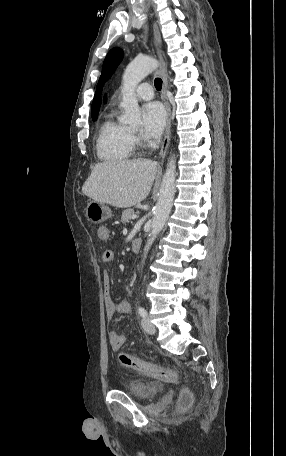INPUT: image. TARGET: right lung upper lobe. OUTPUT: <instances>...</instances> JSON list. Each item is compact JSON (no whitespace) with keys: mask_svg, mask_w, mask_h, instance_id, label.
<instances>
[{"mask_svg":"<svg viewBox=\"0 0 286 456\" xmlns=\"http://www.w3.org/2000/svg\"><path fill=\"white\" fill-rule=\"evenodd\" d=\"M104 102H106V96L104 97Z\"/></svg>","mask_w":286,"mask_h":456,"instance_id":"cb5924a9","label":"right lung upper lobe"}]
</instances>
